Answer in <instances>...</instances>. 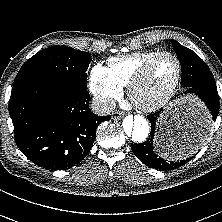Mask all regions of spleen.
Wrapping results in <instances>:
<instances>
[{"mask_svg": "<svg viewBox=\"0 0 222 222\" xmlns=\"http://www.w3.org/2000/svg\"><path fill=\"white\" fill-rule=\"evenodd\" d=\"M157 150L160 151V150L158 149V147H157ZM163 155H165L166 157H169V156H167L166 154H163ZM169 158H171V157H169ZM179 158H180V157H179ZM179 158H176V159H179Z\"/></svg>", "mask_w": 222, "mask_h": 222, "instance_id": "spleen-1", "label": "spleen"}]
</instances>
